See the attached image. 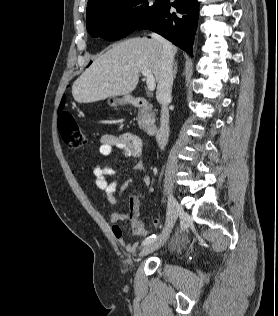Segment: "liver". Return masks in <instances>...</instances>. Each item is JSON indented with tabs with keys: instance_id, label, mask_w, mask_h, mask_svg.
<instances>
[{
	"instance_id": "6515ba94",
	"label": "liver",
	"mask_w": 278,
	"mask_h": 316,
	"mask_svg": "<svg viewBox=\"0 0 278 316\" xmlns=\"http://www.w3.org/2000/svg\"><path fill=\"white\" fill-rule=\"evenodd\" d=\"M171 48L175 54L177 48ZM161 56L162 45L156 39L136 37L120 42L93 61L74 82L72 95L78 103L127 95L136 88L144 69L159 82Z\"/></svg>"
}]
</instances>
